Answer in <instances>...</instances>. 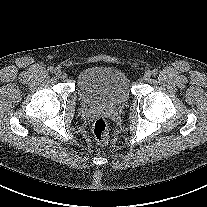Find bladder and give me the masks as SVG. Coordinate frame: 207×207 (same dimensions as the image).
Returning a JSON list of instances; mask_svg holds the SVG:
<instances>
[{"instance_id": "obj_1", "label": "bladder", "mask_w": 207, "mask_h": 207, "mask_svg": "<svg viewBox=\"0 0 207 207\" xmlns=\"http://www.w3.org/2000/svg\"><path fill=\"white\" fill-rule=\"evenodd\" d=\"M80 98L90 105H119L130 96V82L124 71L94 66L82 71L77 80Z\"/></svg>"}]
</instances>
